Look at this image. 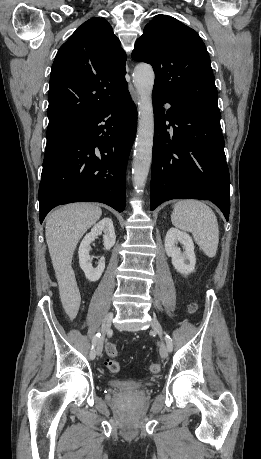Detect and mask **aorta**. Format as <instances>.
Wrapping results in <instances>:
<instances>
[{"mask_svg":"<svg viewBox=\"0 0 261 459\" xmlns=\"http://www.w3.org/2000/svg\"><path fill=\"white\" fill-rule=\"evenodd\" d=\"M155 74L151 65L138 64L133 72V82L138 94V130L132 162L133 186L137 193L143 191L152 161L154 138V113L152 90Z\"/></svg>","mask_w":261,"mask_h":459,"instance_id":"aorta-1","label":"aorta"}]
</instances>
